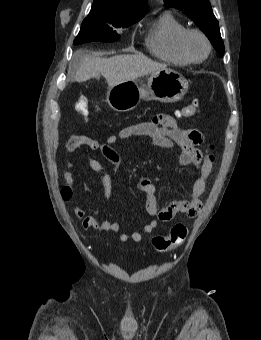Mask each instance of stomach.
<instances>
[{"instance_id":"1","label":"stomach","mask_w":261,"mask_h":340,"mask_svg":"<svg viewBox=\"0 0 261 340\" xmlns=\"http://www.w3.org/2000/svg\"><path fill=\"white\" fill-rule=\"evenodd\" d=\"M187 90L188 81L180 73L166 68L150 74L146 83L131 80L109 87L107 102L117 112H128L136 108L141 100L177 102Z\"/></svg>"}]
</instances>
